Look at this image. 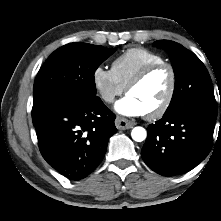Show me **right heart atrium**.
Here are the masks:
<instances>
[{"mask_svg":"<svg viewBox=\"0 0 221 221\" xmlns=\"http://www.w3.org/2000/svg\"><path fill=\"white\" fill-rule=\"evenodd\" d=\"M92 81L99 97L107 104L114 102L121 95L125 87L117 80L112 70L98 66L92 73Z\"/></svg>","mask_w":221,"mask_h":221,"instance_id":"right-heart-atrium-1","label":"right heart atrium"}]
</instances>
